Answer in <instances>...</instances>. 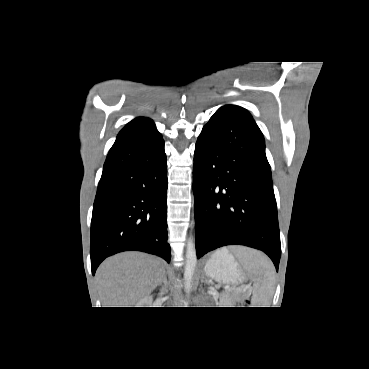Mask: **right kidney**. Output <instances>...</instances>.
<instances>
[{"label": "right kidney", "mask_w": 369, "mask_h": 369, "mask_svg": "<svg viewBox=\"0 0 369 369\" xmlns=\"http://www.w3.org/2000/svg\"><path fill=\"white\" fill-rule=\"evenodd\" d=\"M138 307H149L152 304V296H145L137 303Z\"/></svg>", "instance_id": "ca27d5eb"}]
</instances>
